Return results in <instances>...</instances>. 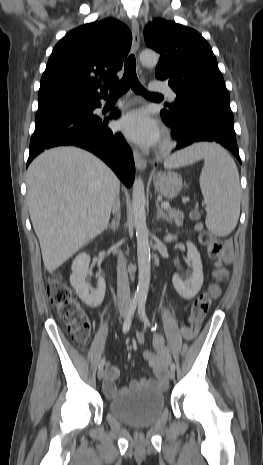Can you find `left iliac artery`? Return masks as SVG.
Segmentation results:
<instances>
[{"mask_svg": "<svg viewBox=\"0 0 263 465\" xmlns=\"http://www.w3.org/2000/svg\"><path fill=\"white\" fill-rule=\"evenodd\" d=\"M138 314H139L141 320L144 322V324L150 327V322H149L148 317L146 316V312H145V302L144 301H141V302L138 303ZM151 330H153V328H151ZM170 368L175 370V364L173 362L170 364Z\"/></svg>", "mask_w": 263, "mask_h": 465, "instance_id": "obj_1", "label": "left iliac artery"}]
</instances>
